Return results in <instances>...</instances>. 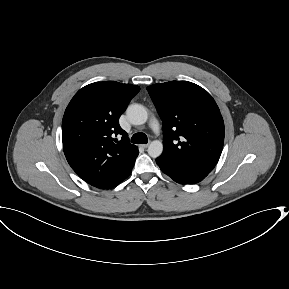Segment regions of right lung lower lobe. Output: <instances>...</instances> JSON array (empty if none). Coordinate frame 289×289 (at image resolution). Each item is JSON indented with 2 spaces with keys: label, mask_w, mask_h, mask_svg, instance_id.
I'll return each instance as SVG.
<instances>
[{
  "label": "right lung lower lobe",
  "mask_w": 289,
  "mask_h": 289,
  "mask_svg": "<svg viewBox=\"0 0 289 289\" xmlns=\"http://www.w3.org/2000/svg\"><path fill=\"white\" fill-rule=\"evenodd\" d=\"M134 163H135V161H134ZM133 166H134V164H133ZM133 166H132V168H133ZM132 168H131L129 174L127 175V177L130 175V173H131V171H132ZM127 177H126V178H127Z\"/></svg>",
  "instance_id": "98d812e1"
}]
</instances>
